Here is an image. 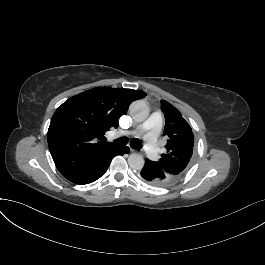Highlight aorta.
<instances>
[{"instance_id":"762f6f07","label":"aorta","mask_w":265,"mask_h":265,"mask_svg":"<svg viewBox=\"0 0 265 265\" xmlns=\"http://www.w3.org/2000/svg\"><path fill=\"white\" fill-rule=\"evenodd\" d=\"M133 119L137 122H143L149 115V109L145 102L135 101L129 107ZM128 164L133 170H141L144 167V158L137 153L128 157Z\"/></svg>"}]
</instances>
